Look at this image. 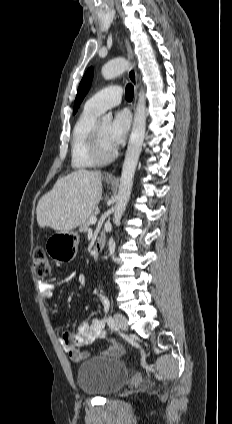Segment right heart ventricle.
<instances>
[{
    "instance_id": "e07e8e85",
    "label": "right heart ventricle",
    "mask_w": 232,
    "mask_h": 424,
    "mask_svg": "<svg viewBox=\"0 0 232 424\" xmlns=\"http://www.w3.org/2000/svg\"><path fill=\"white\" fill-rule=\"evenodd\" d=\"M99 114L85 107L74 125L71 141V165L74 169L82 170L99 165L89 153L91 133Z\"/></svg>"
}]
</instances>
